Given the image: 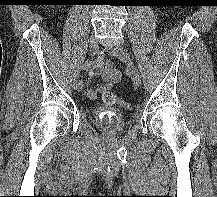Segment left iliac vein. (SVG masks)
<instances>
[{
  "label": "left iliac vein",
  "mask_w": 217,
  "mask_h": 197,
  "mask_svg": "<svg viewBox=\"0 0 217 197\" xmlns=\"http://www.w3.org/2000/svg\"><path fill=\"white\" fill-rule=\"evenodd\" d=\"M109 52L119 60L123 61L127 65V73L131 77L133 83L136 87H140L141 85V76L138 68L131 60L127 51L119 45L109 48Z\"/></svg>",
  "instance_id": "left-iliac-vein-1"
}]
</instances>
